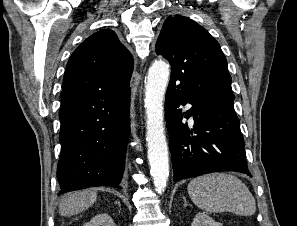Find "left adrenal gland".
Returning a JSON list of instances; mask_svg holds the SVG:
<instances>
[{"label":"left adrenal gland","instance_id":"obj_1","mask_svg":"<svg viewBox=\"0 0 297 226\" xmlns=\"http://www.w3.org/2000/svg\"><path fill=\"white\" fill-rule=\"evenodd\" d=\"M183 200H184V207L188 206L189 204L187 203V201H186V198H185V197H183Z\"/></svg>","mask_w":297,"mask_h":226}]
</instances>
